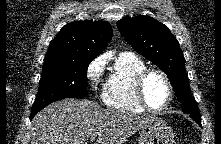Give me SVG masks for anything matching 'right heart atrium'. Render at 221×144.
<instances>
[{
  "instance_id": "1",
  "label": "right heart atrium",
  "mask_w": 221,
  "mask_h": 144,
  "mask_svg": "<svg viewBox=\"0 0 221 144\" xmlns=\"http://www.w3.org/2000/svg\"><path fill=\"white\" fill-rule=\"evenodd\" d=\"M105 69V59L103 57L95 58L89 65L86 71L88 83L95 90L102 86L103 74Z\"/></svg>"
}]
</instances>
